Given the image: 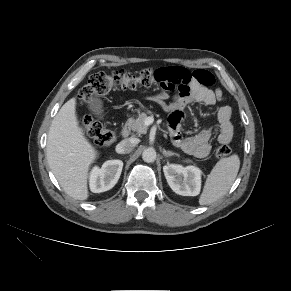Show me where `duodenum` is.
Wrapping results in <instances>:
<instances>
[{"label":"duodenum","mask_w":291,"mask_h":291,"mask_svg":"<svg viewBox=\"0 0 291 291\" xmlns=\"http://www.w3.org/2000/svg\"><path fill=\"white\" fill-rule=\"evenodd\" d=\"M130 133H131V124L129 121H127L122 127L121 135L122 137L126 138L130 135Z\"/></svg>","instance_id":"410a0bca"}]
</instances>
